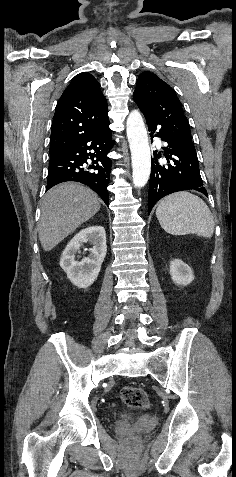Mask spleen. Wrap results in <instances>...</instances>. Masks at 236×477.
<instances>
[{"instance_id": "3e777b00", "label": "spleen", "mask_w": 236, "mask_h": 477, "mask_svg": "<svg viewBox=\"0 0 236 477\" xmlns=\"http://www.w3.org/2000/svg\"><path fill=\"white\" fill-rule=\"evenodd\" d=\"M161 227L172 235L197 234L204 238L214 233V218L198 196L182 191L164 198L156 209Z\"/></svg>"}]
</instances>
